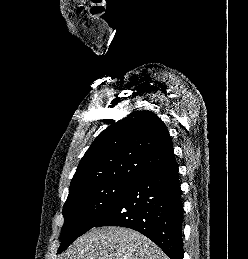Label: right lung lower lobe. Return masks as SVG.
<instances>
[{
    "label": "right lung lower lobe",
    "instance_id": "1",
    "mask_svg": "<svg viewBox=\"0 0 248 259\" xmlns=\"http://www.w3.org/2000/svg\"><path fill=\"white\" fill-rule=\"evenodd\" d=\"M178 175L175 161L140 176L95 227L134 229L156 243L170 259H183V207Z\"/></svg>",
    "mask_w": 248,
    "mask_h": 259
}]
</instances>
